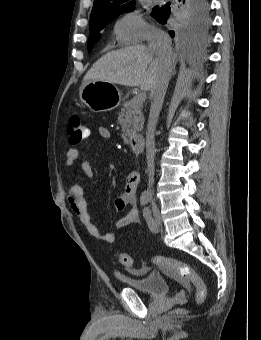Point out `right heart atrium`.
<instances>
[{"mask_svg":"<svg viewBox=\"0 0 261 340\" xmlns=\"http://www.w3.org/2000/svg\"><path fill=\"white\" fill-rule=\"evenodd\" d=\"M118 40L123 44L142 42L156 33L138 11L120 15L114 24Z\"/></svg>","mask_w":261,"mask_h":340,"instance_id":"d8ad5b80","label":"right heart atrium"}]
</instances>
